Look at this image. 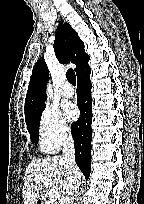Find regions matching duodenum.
I'll return each instance as SVG.
<instances>
[{"label":"duodenum","instance_id":"duodenum-1","mask_svg":"<svg viewBox=\"0 0 144 204\" xmlns=\"http://www.w3.org/2000/svg\"><path fill=\"white\" fill-rule=\"evenodd\" d=\"M36 204H43L41 200H38Z\"/></svg>","mask_w":144,"mask_h":204}]
</instances>
